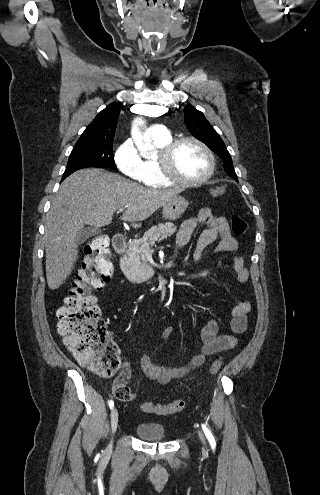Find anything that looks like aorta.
I'll list each match as a JSON object with an SVG mask.
<instances>
[{"instance_id":"762f6f07","label":"aorta","mask_w":320,"mask_h":495,"mask_svg":"<svg viewBox=\"0 0 320 495\" xmlns=\"http://www.w3.org/2000/svg\"><path fill=\"white\" fill-rule=\"evenodd\" d=\"M145 111L150 115H155L159 110L160 107L158 106H153V105H147L144 107ZM144 124V120L142 118H135L132 122V129H131V134L132 138L139 149L140 153L142 155L148 154L152 150V146L146 144L143 141V134L141 132V126Z\"/></svg>"}]
</instances>
